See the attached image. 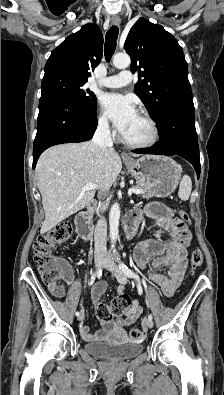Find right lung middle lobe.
I'll list each match as a JSON object with an SVG mask.
<instances>
[{"instance_id": "obj_1", "label": "right lung middle lobe", "mask_w": 224, "mask_h": 395, "mask_svg": "<svg viewBox=\"0 0 224 395\" xmlns=\"http://www.w3.org/2000/svg\"><path fill=\"white\" fill-rule=\"evenodd\" d=\"M86 82L62 73H52L44 76L41 89L42 92L54 93L69 99L78 107L94 108L96 96L84 87Z\"/></svg>"}]
</instances>
